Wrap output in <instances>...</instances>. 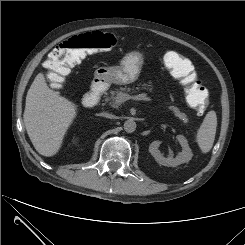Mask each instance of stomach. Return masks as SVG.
Wrapping results in <instances>:
<instances>
[{
    "mask_svg": "<svg viewBox=\"0 0 245 245\" xmlns=\"http://www.w3.org/2000/svg\"><path fill=\"white\" fill-rule=\"evenodd\" d=\"M143 64L144 54L139 51H131L124 55L119 66L99 67L94 77L108 84H129L138 79Z\"/></svg>",
    "mask_w": 245,
    "mask_h": 245,
    "instance_id": "obj_1",
    "label": "stomach"
}]
</instances>
